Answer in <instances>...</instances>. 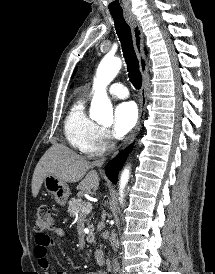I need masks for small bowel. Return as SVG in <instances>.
<instances>
[{"label": "small bowel", "mask_w": 215, "mask_h": 274, "mask_svg": "<svg viewBox=\"0 0 215 274\" xmlns=\"http://www.w3.org/2000/svg\"><path fill=\"white\" fill-rule=\"evenodd\" d=\"M50 234L55 235L59 238L65 237V231L62 228H54L51 230ZM50 234L38 233L35 236V248L34 254L38 260L40 268L46 273H49L50 263L48 259V249L54 244L53 239ZM56 274H66L64 272H57ZM87 274H105L102 271H92Z\"/></svg>", "instance_id": "1"}]
</instances>
